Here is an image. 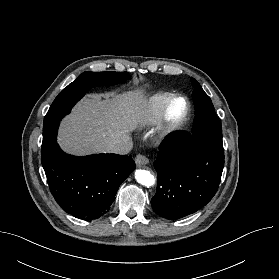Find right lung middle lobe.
<instances>
[{
  "mask_svg": "<svg viewBox=\"0 0 279 279\" xmlns=\"http://www.w3.org/2000/svg\"><path fill=\"white\" fill-rule=\"evenodd\" d=\"M129 78L130 75L127 72H84L63 89L44 118L41 156H45L57 143L56 136L60 120L71 111V108L90 87L121 83Z\"/></svg>",
  "mask_w": 279,
  "mask_h": 279,
  "instance_id": "obj_1",
  "label": "right lung middle lobe"
}]
</instances>
